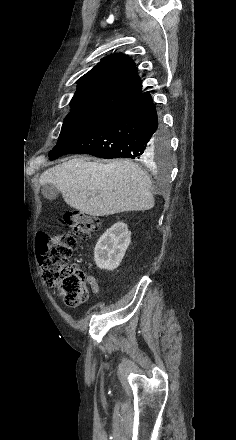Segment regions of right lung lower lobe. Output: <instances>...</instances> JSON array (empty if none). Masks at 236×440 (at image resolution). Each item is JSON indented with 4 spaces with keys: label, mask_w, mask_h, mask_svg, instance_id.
<instances>
[{
    "label": "right lung lower lobe",
    "mask_w": 236,
    "mask_h": 440,
    "mask_svg": "<svg viewBox=\"0 0 236 440\" xmlns=\"http://www.w3.org/2000/svg\"><path fill=\"white\" fill-rule=\"evenodd\" d=\"M161 135L157 110L148 91L113 108L88 129L50 151L49 157L54 160L79 153L149 161Z\"/></svg>",
    "instance_id": "1"
}]
</instances>
